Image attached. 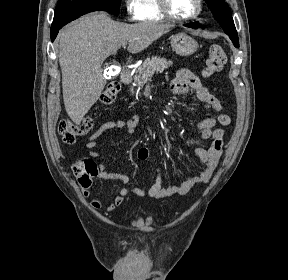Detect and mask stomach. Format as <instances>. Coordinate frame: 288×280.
I'll use <instances>...</instances> for the list:
<instances>
[{"mask_svg": "<svg viewBox=\"0 0 288 280\" xmlns=\"http://www.w3.org/2000/svg\"><path fill=\"white\" fill-rule=\"evenodd\" d=\"M171 47L180 56L192 55L198 48L197 41L186 33H177L171 37Z\"/></svg>", "mask_w": 288, "mask_h": 280, "instance_id": "0dacf381", "label": "stomach"}]
</instances>
